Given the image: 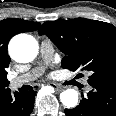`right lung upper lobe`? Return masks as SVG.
Listing matches in <instances>:
<instances>
[{
  "mask_svg": "<svg viewBox=\"0 0 116 116\" xmlns=\"http://www.w3.org/2000/svg\"><path fill=\"white\" fill-rule=\"evenodd\" d=\"M40 27L39 22L10 18L0 21V95L9 90L6 69L11 59L7 53L9 40L16 34L35 31Z\"/></svg>",
  "mask_w": 116,
  "mask_h": 116,
  "instance_id": "obj_1",
  "label": "right lung upper lobe"
}]
</instances>
